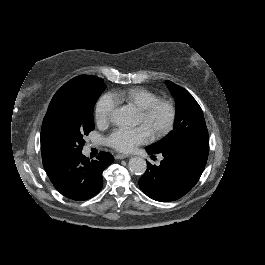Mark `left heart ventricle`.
Instances as JSON below:
<instances>
[{
	"label": "left heart ventricle",
	"mask_w": 265,
	"mask_h": 265,
	"mask_svg": "<svg viewBox=\"0 0 265 265\" xmlns=\"http://www.w3.org/2000/svg\"><path fill=\"white\" fill-rule=\"evenodd\" d=\"M165 120L166 111L163 108H159L147 122H145L143 117L138 113V124L142 123L145 125L151 133L160 128L164 124Z\"/></svg>",
	"instance_id": "left-heart-ventricle-1"
}]
</instances>
